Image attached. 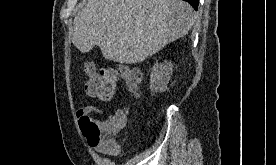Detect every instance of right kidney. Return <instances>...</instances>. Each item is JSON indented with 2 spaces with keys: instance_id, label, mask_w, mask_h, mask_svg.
<instances>
[{
  "instance_id": "1",
  "label": "right kidney",
  "mask_w": 276,
  "mask_h": 165,
  "mask_svg": "<svg viewBox=\"0 0 276 165\" xmlns=\"http://www.w3.org/2000/svg\"><path fill=\"white\" fill-rule=\"evenodd\" d=\"M173 72V64L168 61L164 63H156L150 75V89L152 92H163L167 88V84L171 79Z\"/></svg>"
}]
</instances>
